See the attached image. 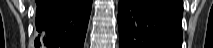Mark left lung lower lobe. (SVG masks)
I'll use <instances>...</instances> for the list:
<instances>
[{"label":"left lung lower lobe","mask_w":213,"mask_h":48,"mask_svg":"<svg viewBox=\"0 0 213 48\" xmlns=\"http://www.w3.org/2000/svg\"><path fill=\"white\" fill-rule=\"evenodd\" d=\"M183 0H120V48H181Z\"/></svg>","instance_id":"obj_1"}]
</instances>
